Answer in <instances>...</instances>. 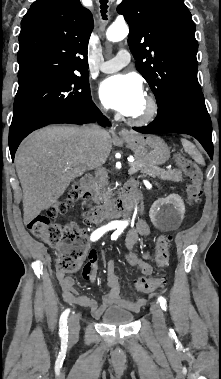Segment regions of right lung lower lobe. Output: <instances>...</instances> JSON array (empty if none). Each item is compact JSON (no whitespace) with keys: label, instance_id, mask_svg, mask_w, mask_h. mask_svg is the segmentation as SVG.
<instances>
[{"label":"right lung lower lobe","instance_id":"right-lung-lower-lobe-1","mask_svg":"<svg viewBox=\"0 0 221 379\" xmlns=\"http://www.w3.org/2000/svg\"><path fill=\"white\" fill-rule=\"evenodd\" d=\"M95 121H97L101 126L109 125L108 119L105 116H103V114L99 111V109L95 106V104L91 100L87 105H84L81 108L74 109L68 113H64L62 115L46 120L45 122L37 126L34 130L39 129L43 126H46L49 124H55V123L85 124V123L95 122ZM27 135L20 138L15 143H12V144L9 143L12 161L14 160V155L17 150V147Z\"/></svg>","mask_w":221,"mask_h":379}]
</instances>
